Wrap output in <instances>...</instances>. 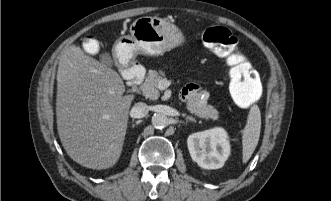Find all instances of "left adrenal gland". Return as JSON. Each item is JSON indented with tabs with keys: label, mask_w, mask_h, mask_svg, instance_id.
<instances>
[{
	"label": "left adrenal gland",
	"mask_w": 331,
	"mask_h": 201,
	"mask_svg": "<svg viewBox=\"0 0 331 201\" xmlns=\"http://www.w3.org/2000/svg\"><path fill=\"white\" fill-rule=\"evenodd\" d=\"M186 119L189 120V121H192V122H196V120L192 117H186Z\"/></svg>",
	"instance_id": "1"
}]
</instances>
